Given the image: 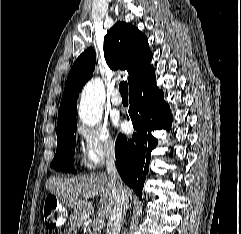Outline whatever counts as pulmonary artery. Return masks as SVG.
I'll list each match as a JSON object with an SVG mask.
<instances>
[{
    "instance_id": "1",
    "label": "pulmonary artery",
    "mask_w": 241,
    "mask_h": 234,
    "mask_svg": "<svg viewBox=\"0 0 241 234\" xmlns=\"http://www.w3.org/2000/svg\"><path fill=\"white\" fill-rule=\"evenodd\" d=\"M110 102L113 106H120L122 104V99H121V96L119 94V91L118 90H115L111 97H110Z\"/></svg>"
}]
</instances>
